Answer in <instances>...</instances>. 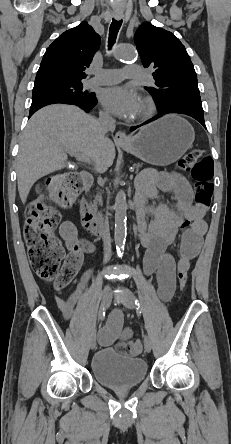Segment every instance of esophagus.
I'll return each mask as SVG.
<instances>
[{
    "instance_id": "obj_1",
    "label": "esophagus",
    "mask_w": 231,
    "mask_h": 444,
    "mask_svg": "<svg viewBox=\"0 0 231 444\" xmlns=\"http://www.w3.org/2000/svg\"><path fill=\"white\" fill-rule=\"evenodd\" d=\"M114 16L116 19L119 20L123 17V12L122 11H115ZM114 140L118 143H125L129 140V138L127 137V135L125 134L124 131L118 130L115 134Z\"/></svg>"
}]
</instances>
